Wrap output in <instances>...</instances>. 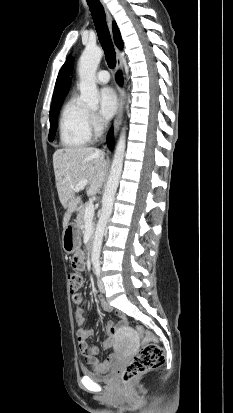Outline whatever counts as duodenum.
<instances>
[{"mask_svg":"<svg viewBox=\"0 0 233 413\" xmlns=\"http://www.w3.org/2000/svg\"><path fill=\"white\" fill-rule=\"evenodd\" d=\"M94 245V236H91L87 242V250L91 251Z\"/></svg>","mask_w":233,"mask_h":413,"instance_id":"410a0bca","label":"duodenum"}]
</instances>
